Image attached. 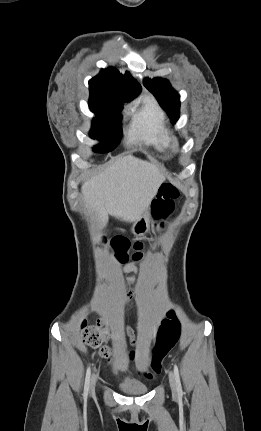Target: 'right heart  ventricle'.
Returning a JSON list of instances; mask_svg holds the SVG:
<instances>
[{"mask_svg":"<svg viewBox=\"0 0 261 431\" xmlns=\"http://www.w3.org/2000/svg\"><path fill=\"white\" fill-rule=\"evenodd\" d=\"M129 137L130 140L159 152L168 149L170 132L163 111L153 99H145L142 106L133 112Z\"/></svg>","mask_w":261,"mask_h":431,"instance_id":"obj_1","label":"right heart ventricle"}]
</instances>
